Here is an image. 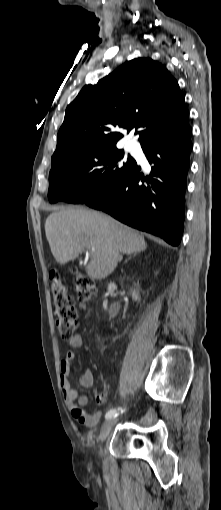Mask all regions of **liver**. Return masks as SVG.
Returning <instances> with one entry per match:
<instances>
[{
    "mask_svg": "<svg viewBox=\"0 0 221 510\" xmlns=\"http://www.w3.org/2000/svg\"><path fill=\"white\" fill-rule=\"evenodd\" d=\"M45 233L52 255L61 265L89 250L91 261L86 272L92 279L110 275L122 259L120 253L130 255L147 248L137 231L93 210L55 211L45 221Z\"/></svg>",
    "mask_w": 221,
    "mask_h": 510,
    "instance_id": "6515ba94",
    "label": "liver"
}]
</instances>
